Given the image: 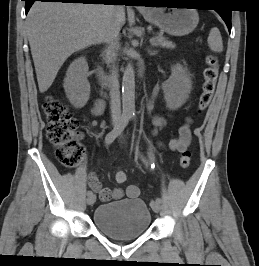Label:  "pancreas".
<instances>
[{
  "label": "pancreas",
  "instance_id": "pancreas-1",
  "mask_svg": "<svg viewBox=\"0 0 259 266\" xmlns=\"http://www.w3.org/2000/svg\"><path fill=\"white\" fill-rule=\"evenodd\" d=\"M155 45H159L163 48H168V49H173L175 48V44L172 43L171 41L167 40L165 37H163L162 35H157L155 37V41H154Z\"/></svg>",
  "mask_w": 259,
  "mask_h": 266
}]
</instances>
